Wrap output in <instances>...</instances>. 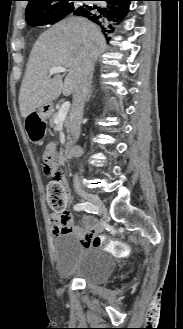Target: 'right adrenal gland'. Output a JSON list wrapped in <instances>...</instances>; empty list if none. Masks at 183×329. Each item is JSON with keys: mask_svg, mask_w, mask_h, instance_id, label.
<instances>
[{"mask_svg": "<svg viewBox=\"0 0 183 329\" xmlns=\"http://www.w3.org/2000/svg\"><path fill=\"white\" fill-rule=\"evenodd\" d=\"M91 94H92V90L89 92V95H88V98H87L88 101L90 100Z\"/></svg>", "mask_w": 183, "mask_h": 329, "instance_id": "1", "label": "right adrenal gland"}]
</instances>
